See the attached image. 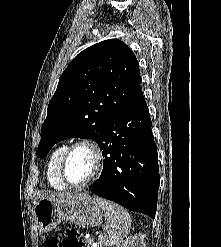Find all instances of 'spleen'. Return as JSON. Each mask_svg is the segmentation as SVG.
I'll return each mask as SVG.
<instances>
[{
  "instance_id": "1",
  "label": "spleen",
  "mask_w": 221,
  "mask_h": 247,
  "mask_svg": "<svg viewBox=\"0 0 221 247\" xmlns=\"http://www.w3.org/2000/svg\"><path fill=\"white\" fill-rule=\"evenodd\" d=\"M106 231L99 235V247L115 246L127 237L131 226L129 213L112 202L103 204Z\"/></svg>"
}]
</instances>
